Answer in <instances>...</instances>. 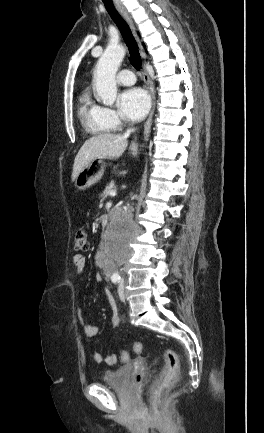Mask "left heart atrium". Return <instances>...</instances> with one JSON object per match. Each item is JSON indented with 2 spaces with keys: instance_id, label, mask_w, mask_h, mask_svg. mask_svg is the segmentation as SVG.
Instances as JSON below:
<instances>
[{
  "instance_id": "1",
  "label": "left heart atrium",
  "mask_w": 264,
  "mask_h": 433,
  "mask_svg": "<svg viewBox=\"0 0 264 433\" xmlns=\"http://www.w3.org/2000/svg\"><path fill=\"white\" fill-rule=\"evenodd\" d=\"M118 107L123 118L136 122L146 115L150 99L143 89L131 88L119 95Z\"/></svg>"
}]
</instances>
